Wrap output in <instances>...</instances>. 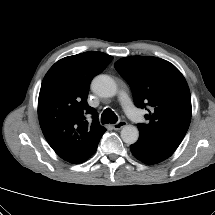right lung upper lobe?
<instances>
[{"label":"right lung upper lobe","instance_id":"obj_1","mask_svg":"<svg viewBox=\"0 0 215 215\" xmlns=\"http://www.w3.org/2000/svg\"><path fill=\"white\" fill-rule=\"evenodd\" d=\"M112 59L95 51L68 56L56 62L42 81L38 99L41 129L57 155L70 163L86 161L106 131L87 97L91 80ZM87 114L92 116L91 124Z\"/></svg>","mask_w":215,"mask_h":215}]
</instances>
